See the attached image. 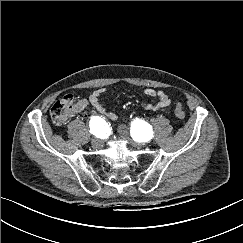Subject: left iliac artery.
<instances>
[{
  "label": "left iliac artery",
  "mask_w": 243,
  "mask_h": 243,
  "mask_svg": "<svg viewBox=\"0 0 243 243\" xmlns=\"http://www.w3.org/2000/svg\"><path fill=\"white\" fill-rule=\"evenodd\" d=\"M137 121H134V123L132 124V127H131V136L133 137L134 140L136 141H142L144 137L142 136H147L145 139H151L152 137V131H145L143 132L142 129H140V127H138V125L136 124H140V121H138V119H136ZM143 125V124H142ZM151 132V134H150Z\"/></svg>",
  "instance_id": "left-iliac-artery-1"
}]
</instances>
